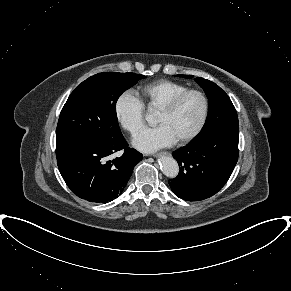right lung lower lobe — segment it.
I'll use <instances>...</instances> for the list:
<instances>
[{
  "label": "right lung lower lobe",
  "mask_w": 291,
  "mask_h": 291,
  "mask_svg": "<svg viewBox=\"0 0 291 291\" xmlns=\"http://www.w3.org/2000/svg\"><path fill=\"white\" fill-rule=\"evenodd\" d=\"M123 151L113 160L110 155ZM142 154L128 147L123 135L106 143L87 144L57 159L60 173L70 190L90 202L107 203L125 189Z\"/></svg>",
  "instance_id": "1"
}]
</instances>
